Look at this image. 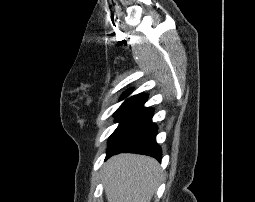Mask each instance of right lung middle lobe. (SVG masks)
I'll return each instance as SVG.
<instances>
[{"instance_id":"right-lung-middle-lobe-1","label":"right lung middle lobe","mask_w":255,"mask_h":202,"mask_svg":"<svg viewBox=\"0 0 255 202\" xmlns=\"http://www.w3.org/2000/svg\"><path fill=\"white\" fill-rule=\"evenodd\" d=\"M135 116V114L131 113H121V114H115V118H117V121L120 122L117 129L113 132V134L109 138V145L112 142V140L115 138V136L121 131V129ZM108 145V146H109Z\"/></svg>"}]
</instances>
